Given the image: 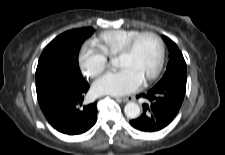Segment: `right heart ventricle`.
Returning a JSON list of instances; mask_svg holds the SVG:
<instances>
[{
  "instance_id": "right-heart-ventricle-1",
  "label": "right heart ventricle",
  "mask_w": 225,
  "mask_h": 155,
  "mask_svg": "<svg viewBox=\"0 0 225 155\" xmlns=\"http://www.w3.org/2000/svg\"><path fill=\"white\" fill-rule=\"evenodd\" d=\"M140 33L135 29L108 30L99 34L92 40L93 46L106 57L116 56L127 41Z\"/></svg>"
}]
</instances>
